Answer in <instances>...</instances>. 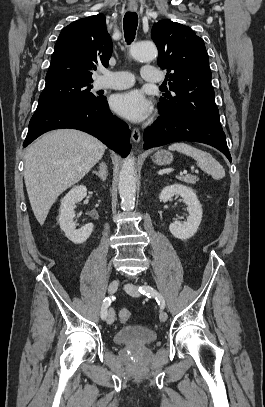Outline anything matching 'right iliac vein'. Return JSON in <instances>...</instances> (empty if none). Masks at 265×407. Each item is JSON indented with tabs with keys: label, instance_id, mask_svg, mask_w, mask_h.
I'll return each instance as SVG.
<instances>
[{
	"label": "right iliac vein",
	"instance_id": "1",
	"mask_svg": "<svg viewBox=\"0 0 265 407\" xmlns=\"http://www.w3.org/2000/svg\"><path fill=\"white\" fill-rule=\"evenodd\" d=\"M119 282L118 280L112 281L109 286H108V292L109 294H114L116 290L118 289ZM115 319V313L112 309H110L107 313L106 317V322L107 324L111 325L114 322Z\"/></svg>",
	"mask_w": 265,
	"mask_h": 407
}]
</instances>
